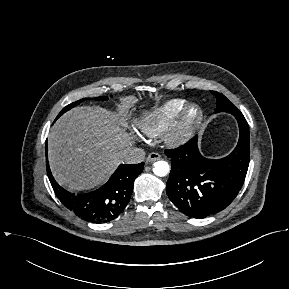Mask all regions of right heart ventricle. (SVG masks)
<instances>
[{"label": "right heart ventricle", "mask_w": 289, "mask_h": 289, "mask_svg": "<svg viewBox=\"0 0 289 289\" xmlns=\"http://www.w3.org/2000/svg\"><path fill=\"white\" fill-rule=\"evenodd\" d=\"M186 105L183 99H171L157 107L138 121L144 134L157 137L168 131L177 121Z\"/></svg>", "instance_id": "1"}]
</instances>
